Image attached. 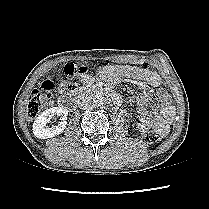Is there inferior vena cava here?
<instances>
[{
    "label": "inferior vena cava",
    "mask_w": 209,
    "mask_h": 209,
    "mask_svg": "<svg viewBox=\"0 0 209 209\" xmlns=\"http://www.w3.org/2000/svg\"><path fill=\"white\" fill-rule=\"evenodd\" d=\"M78 104H79V107H81V109H83V110H87V109L92 108L91 97H88V96L80 97Z\"/></svg>",
    "instance_id": "602c4592"
}]
</instances>
